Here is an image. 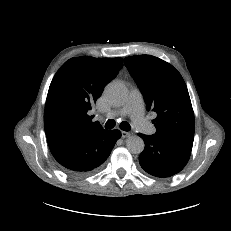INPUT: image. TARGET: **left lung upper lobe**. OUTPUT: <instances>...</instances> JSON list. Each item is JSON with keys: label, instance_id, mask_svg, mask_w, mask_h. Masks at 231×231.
<instances>
[{"label": "left lung upper lobe", "instance_id": "5c2ea615", "mask_svg": "<svg viewBox=\"0 0 231 231\" xmlns=\"http://www.w3.org/2000/svg\"><path fill=\"white\" fill-rule=\"evenodd\" d=\"M124 64L157 117L156 136L193 143L194 112L186 84L169 63L151 55L126 57Z\"/></svg>", "mask_w": 231, "mask_h": 231}]
</instances>
